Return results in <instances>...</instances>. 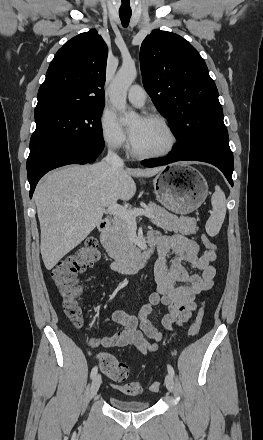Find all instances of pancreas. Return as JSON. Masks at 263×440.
Masks as SVG:
<instances>
[{"mask_svg":"<svg viewBox=\"0 0 263 440\" xmlns=\"http://www.w3.org/2000/svg\"><path fill=\"white\" fill-rule=\"evenodd\" d=\"M145 209L154 214L152 223L165 231H173L183 235L195 234L198 231L197 221L191 217H177L162 207L150 202ZM137 211L138 208L129 209ZM105 248L108 254L117 262H123L135 256L139 251L132 239L130 224L121 217H115L110 230L106 234Z\"/></svg>","mask_w":263,"mask_h":440,"instance_id":"obj_1","label":"pancreas"}]
</instances>
